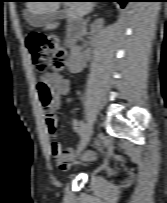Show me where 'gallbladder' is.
Listing matches in <instances>:
<instances>
[{"mask_svg": "<svg viewBox=\"0 0 167 203\" xmlns=\"http://www.w3.org/2000/svg\"><path fill=\"white\" fill-rule=\"evenodd\" d=\"M63 16L64 12L61 10L46 14H34L28 12L26 14V20L33 27H43L55 20L61 19Z\"/></svg>", "mask_w": 167, "mask_h": 203, "instance_id": "obj_1", "label": "gallbladder"}]
</instances>
